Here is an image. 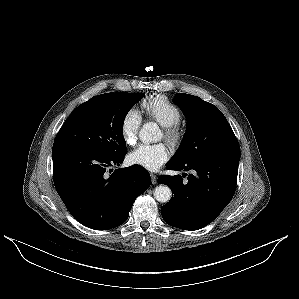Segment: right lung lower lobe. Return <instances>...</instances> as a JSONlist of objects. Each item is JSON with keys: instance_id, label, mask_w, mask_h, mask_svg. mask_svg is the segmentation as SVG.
I'll return each mask as SVG.
<instances>
[{"instance_id": "obj_1", "label": "right lung lower lobe", "mask_w": 299, "mask_h": 299, "mask_svg": "<svg viewBox=\"0 0 299 299\" xmlns=\"http://www.w3.org/2000/svg\"><path fill=\"white\" fill-rule=\"evenodd\" d=\"M126 153V152H125ZM125 153L111 157L70 145L53 146V180L69 212L81 224L106 230L123 224L151 178L139 165L116 169Z\"/></svg>"}]
</instances>
